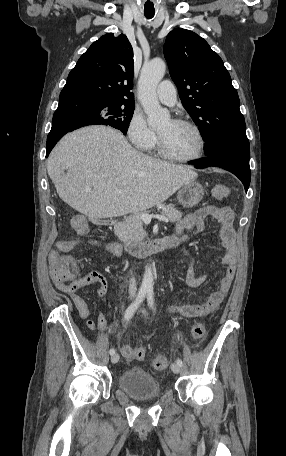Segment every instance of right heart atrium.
<instances>
[{"instance_id": "right-heart-atrium-1", "label": "right heart atrium", "mask_w": 286, "mask_h": 456, "mask_svg": "<svg viewBox=\"0 0 286 456\" xmlns=\"http://www.w3.org/2000/svg\"><path fill=\"white\" fill-rule=\"evenodd\" d=\"M126 133L130 143L139 149H150L156 142V134L149 127L145 115L140 110L133 111Z\"/></svg>"}]
</instances>
